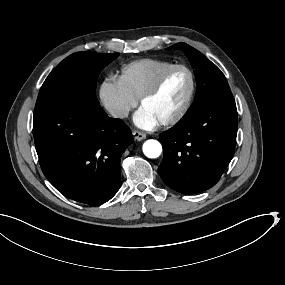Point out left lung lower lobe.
<instances>
[{
    "mask_svg": "<svg viewBox=\"0 0 285 285\" xmlns=\"http://www.w3.org/2000/svg\"><path fill=\"white\" fill-rule=\"evenodd\" d=\"M235 101H212L160 134L164 156L158 167L163 182L183 194L214 186L230 163L236 145Z\"/></svg>",
    "mask_w": 285,
    "mask_h": 285,
    "instance_id": "obj_1",
    "label": "left lung lower lobe"
}]
</instances>
